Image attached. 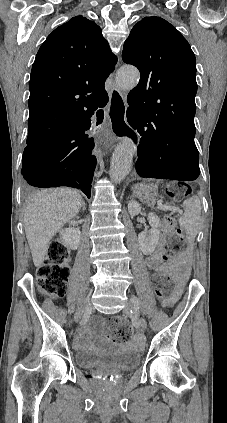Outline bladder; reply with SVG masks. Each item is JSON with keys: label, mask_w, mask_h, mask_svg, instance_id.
<instances>
[{"label": "bladder", "mask_w": 227, "mask_h": 423, "mask_svg": "<svg viewBox=\"0 0 227 423\" xmlns=\"http://www.w3.org/2000/svg\"><path fill=\"white\" fill-rule=\"evenodd\" d=\"M141 362V355L134 350L121 352H98L83 349L75 353V363L83 371L94 368H112L119 373H127Z\"/></svg>", "instance_id": "bladder-1"}]
</instances>
